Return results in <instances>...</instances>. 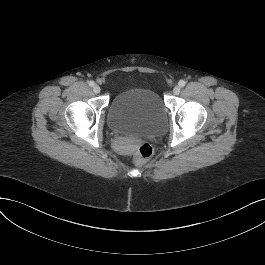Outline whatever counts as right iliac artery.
I'll return each mask as SVG.
<instances>
[{
	"label": "right iliac artery",
	"instance_id": "obj_1",
	"mask_svg": "<svg viewBox=\"0 0 265 265\" xmlns=\"http://www.w3.org/2000/svg\"><path fill=\"white\" fill-rule=\"evenodd\" d=\"M94 85H95L94 81H90V82H89V86H90V87H93Z\"/></svg>",
	"mask_w": 265,
	"mask_h": 265
}]
</instances>
